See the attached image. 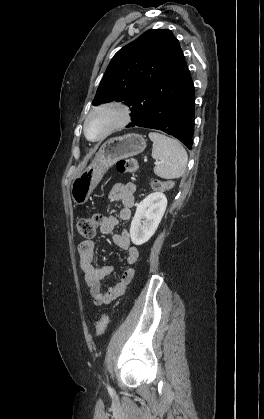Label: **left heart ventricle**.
<instances>
[{
  "label": "left heart ventricle",
  "instance_id": "obj_1",
  "mask_svg": "<svg viewBox=\"0 0 264 419\" xmlns=\"http://www.w3.org/2000/svg\"><path fill=\"white\" fill-rule=\"evenodd\" d=\"M113 115L99 113L91 118L88 123L87 133L91 139L98 138L113 120Z\"/></svg>",
  "mask_w": 264,
  "mask_h": 419
}]
</instances>
